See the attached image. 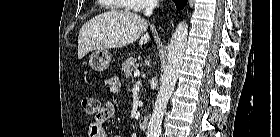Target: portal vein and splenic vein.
Instances as JSON below:
<instances>
[{
	"mask_svg": "<svg viewBox=\"0 0 280 137\" xmlns=\"http://www.w3.org/2000/svg\"><path fill=\"white\" fill-rule=\"evenodd\" d=\"M139 75H140V71L139 70H135L134 77H138Z\"/></svg>",
	"mask_w": 280,
	"mask_h": 137,
	"instance_id": "1",
	"label": "portal vein and splenic vein"
}]
</instances>
